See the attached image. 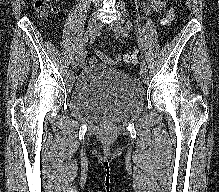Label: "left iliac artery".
<instances>
[{
	"mask_svg": "<svg viewBox=\"0 0 219 192\" xmlns=\"http://www.w3.org/2000/svg\"><path fill=\"white\" fill-rule=\"evenodd\" d=\"M122 34L123 36H126V37L128 36V32L124 28L122 29ZM141 65H146L144 60L141 61Z\"/></svg>",
	"mask_w": 219,
	"mask_h": 192,
	"instance_id": "44dca946",
	"label": "left iliac artery"
}]
</instances>
